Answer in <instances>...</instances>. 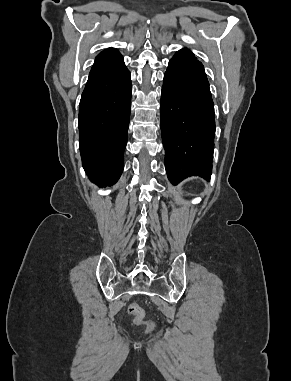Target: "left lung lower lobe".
<instances>
[{
    "mask_svg": "<svg viewBox=\"0 0 291 381\" xmlns=\"http://www.w3.org/2000/svg\"><path fill=\"white\" fill-rule=\"evenodd\" d=\"M160 123L169 181L199 175L210 180L214 104L204 67L184 48L169 61L161 93Z\"/></svg>",
    "mask_w": 291,
    "mask_h": 381,
    "instance_id": "left-lung-lower-lobe-1",
    "label": "left lung lower lobe"
}]
</instances>
